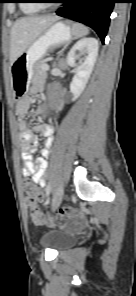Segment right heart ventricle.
I'll list each match as a JSON object with an SVG mask.
<instances>
[{"label":"right heart ventricle","mask_w":136,"mask_h":296,"mask_svg":"<svg viewBox=\"0 0 136 296\" xmlns=\"http://www.w3.org/2000/svg\"><path fill=\"white\" fill-rule=\"evenodd\" d=\"M20 8L24 14H34L40 11V6L34 0H23Z\"/></svg>","instance_id":"obj_1"}]
</instances>
